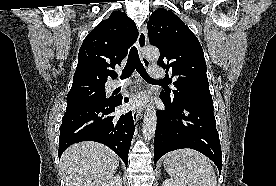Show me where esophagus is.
Here are the masks:
<instances>
[{"instance_id":"1","label":"esophagus","mask_w":276,"mask_h":186,"mask_svg":"<svg viewBox=\"0 0 276 186\" xmlns=\"http://www.w3.org/2000/svg\"><path fill=\"white\" fill-rule=\"evenodd\" d=\"M146 41H147L146 40V30L144 27H142V29L139 32L137 47H138L141 61H142L143 65L147 67L149 65V61H148V59H146V57L144 56V53H143L144 48L146 46ZM132 117H133L134 122L137 123L139 118L141 117V111L137 108H133Z\"/></svg>"}]
</instances>
